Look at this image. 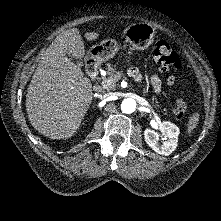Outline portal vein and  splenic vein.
Wrapping results in <instances>:
<instances>
[{
    "label": "portal vein and splenic vein",
    "mask_w": 221,
    "mask_h": 221,
    "mask_svg": "<svg viewBox=\"0 0 221 221\" xmlns=\"http://www.w3.org/2000/svg\"><path fill=\"white\" fill-rule=\"evenodd\" d=\"M102 84H103L104 88H107L108 86H110L112 84V80L108 79L106 81H103Z\"/></svg>",
    "instance_id": "portal-vein-and-splenic-vein-1"
}]
</instances>
